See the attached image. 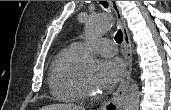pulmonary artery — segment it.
Returning a JSON list of instances; mask_svg holds the SVG:
<instances>
[{
	"mask_svg": "<svg viewBox=\"0 0 171 110\" xmlns=\"http://www.w3.org/2000/svg\"><path fill=\"white\" fill-rule=\"evenodd\" d=\"M74 45L82 52L86 46L85 42L78 41ZM94 51L103 56H113L116 53V45L113 41L107 38H99L92 43Z\"/></svg>",
	"mask_w": 171,
	"mask_h": 110,
	"instance_id": "1",
	"label": "pulmonary artery"
}]
</instances>
